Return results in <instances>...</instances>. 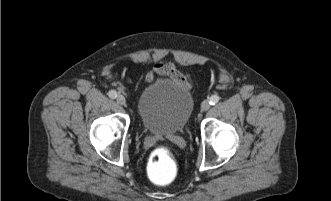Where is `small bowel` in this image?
I'll use <instances>...</instances> for the list:
<instances>
[{"instance_id": "1", "label": "small bowel", "mask_w": 331, "mask_h": 201, "mask_svg": "<svg viewBox=\"0 0 331 201\" xmlns=\"http://www.w3.org/2000/svg\"><path fill=\"white\" fill-rule=\"evenodd\" d=\"M155 75L162 77H168L173 81L182 83L188 87L191 85V80L188 75L181 73L173 63H161L158 62L154 65L153 70L146 74V80L152 82Z\"/></svg>"}]
</instances>
